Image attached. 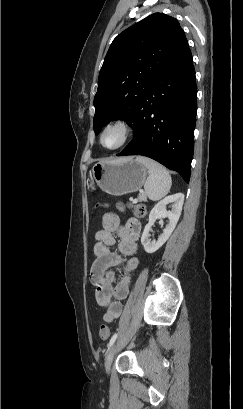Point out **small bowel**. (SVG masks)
<instances>
[{
  "label": "small bowel",
  "instance_id": "obj_1",
  "mask_svg": "<svg viewBox=\"0 0 243 409\" xmlns=\"http://www.w3.org/2000/svg\"><path fill=\"white\" fill-rule=\"evenodd\" d=\"M141 234V223L136 218H129L125 225L119 216L105 212L102 216V228L95 234L96 243L93 248L95 259L90 267V279L95 287V298L105 310L103 319L114 322L122 312V303L129 293V276L138 266L137 241ZM115 235L119 237V251L126 256L111 250L115 244ZM122 266L123 276L115 282L112 268Z\"/></svg>",
  "mask_w": 243,
  "mask_h": 409
}]
</instances>
